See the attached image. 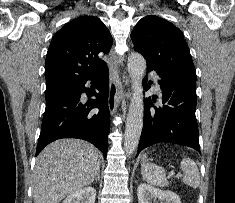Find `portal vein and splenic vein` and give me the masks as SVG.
Listing matches in <instances>:
<instances>
[{
    "mask_svg": "<svg viewBox=\"0 0 235 203\" xmlns=\"http://www.w3.org/2000/svg\"><path fill=\"white\" fill-rule=\"evenodd\" d=\"M174 174H175V172H174L173 170H171L170 173H169V176H173ZM177 176H178V177H181V174L178 173Z\"/></svg>",
    "mask_w": 235,
    "mask_h": 203,
    "instance_id": "18ae733b",
    "label": "portal vein and splenic vein"
}]
</instances>
